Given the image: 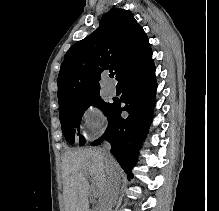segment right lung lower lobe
<instances>
[{
    "label": "right lung lower lobe",
    "instance_id": "obj_1",
    "mask_svg": "<svg viewBox=\"0 0 219 211\" xmlns=\"http://www.w3.org/2000/svg\"><path fill=\"white\" fill-rule=\"evenodd\" d=\"M119 84L123 89L120 100H114L107 116L108 127L101 138L91 145H99L103 140L111 143V154L117 159L128 179L137 163L139 149L150 126L155 102V67L152 58L124 76ZM125 103V105H121ZM123 111L128 117L121 116Z\"/></svg>",
    "mask_w": 219,
    "mask_h": 211
}]
</instances>
